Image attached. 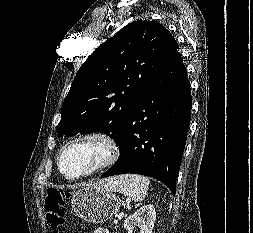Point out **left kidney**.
<instances>
[{
    "instance_id": "1",
    "label": "left kidney",
    "mask_w": 253,
    "mask_h": 233,
    "mask_svg": "<svg viewBox=\"0 0 253 233\" xmlns=\"http://www.w3.org/2000/svg\"><path fill=\"white\" fill-rule=\"evenodd\" d=\"M156 220V212L152 204L142 206L140 209L129 216L124 222V228L128 233H132L135 225L140 228V233H152Z\"/></svg>"
}]
</instances>
